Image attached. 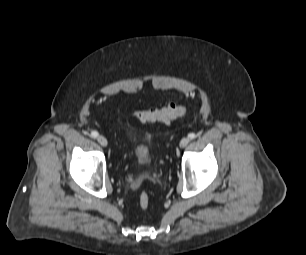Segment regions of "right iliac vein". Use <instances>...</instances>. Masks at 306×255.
<instances>
[{
  "mask_svg": "<svg viewBox=\"0 0 306 255\" xmlns=\"http://www.w3.org/2000/svg\"><path fill=\"white\" fill-rule=\"evenodd\" d=\"M97 141L103 147H106L108 145V141L104 136H98Z\"/></svg>",
  "mask_w": 306,
  "mask_h": 255,
  "instance_id": "63e3f726",
  "label": "right iliac vein"
}]
</instances>
